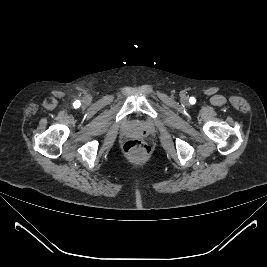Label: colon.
<instances>
[{"instance_id":"colon-1","label":"colon","mask_w":267,"mask_h":267,"mask_svg":"<svg viewBox=\"0 0 267 267\" xmlns=\"http://www.w3.org/2000/svg\"><path fill=\"white\" fill-rule=\"evenodd\" d=\"M124 150L132 156H144L149 152L148 146L139 139L129 140L124 145Z\"/></svg>"}]
</instances>
